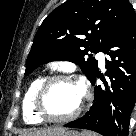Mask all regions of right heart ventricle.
Returning <instances> with one entry per match:
<instances>
[{
	"label": "right heart ventricle",
	"mask_w": 136,
	"mask_h": 136,
	"mask_svg": "<svg viewBox=\"0 0 136 136\" xmlns=\"http://www.w3.org/2000/svg\"><path fill=\"white\" fill-rule=\"evenodd\" d=\"M43 80H44L43 76H36L35 78H33L32 81L29 83L25 91V94L23 96L22 112H23L24 121L27 124H40L43 122L36 115L33 109V100H34L35 93Z\"/></svg>",
	"instance_id": "right-heart-ventricle-1"
}]
</instances>
